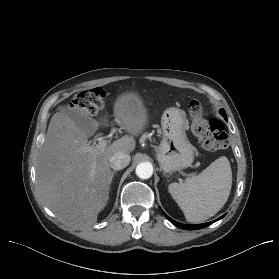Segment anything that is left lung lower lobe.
<instances>
[{"mask_svg":"<svg viewBox=\"0 0 279 279\" xmlns=\"http://www.w3.org/2000/svg\"><path fill=\"white\" fill-rule=\"evenodd\" d=\"M163 214L165 215L166 218H168V220L173 223L175 226L181 228V229H185V230H197V229H201V228H204L206 226H209L211 225L214 221L212 222H208V223H204V224H199V225H186V224H181V223H178L176 221H174L173 219L169 218L164 212ZM225 215H223L222 217H224ZM221 217V218H222Z\"/></svg>","mask_w":279,"mask_h":279,"instance_id":"obj_1","label":"left lung lower lobe"}]
</instances>
